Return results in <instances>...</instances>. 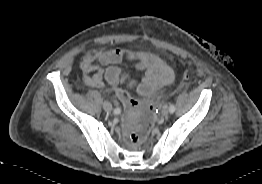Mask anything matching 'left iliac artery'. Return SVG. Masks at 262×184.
I'll return each mask as SVG.
<instances>
[{
  "mask_svg": "<svg viewBox=\"0 0 262 184\" xmlns=\"http://www.w3.org/2000/svg\"><path fill=\"white\" fill-rule=\"evenodd\" d=\"M174 111H175V106H174V104H171V105L169 106V112H170V113H174Z\"/></svg>",
  "mask_w": 262,
  "mask_h": 184,
  "instance_id": "1",
  "label": "left iliac artery"
}]
</instances>
